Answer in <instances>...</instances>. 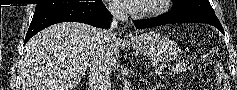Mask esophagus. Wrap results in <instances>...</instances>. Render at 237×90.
I'll list each match as a JSON object with an SVG mask.
<instances>
[{"mask_svg":"<svg viewBox=\"0 0 237 90\" xmlns=\"http://www.w3.org/2000/svg\"><path fill=\"white\" fill-rule=\"evenodd\" d=\"M134 37H133V34L132 33H128L126 32L125 35H124V40L125 41H130L132 40Z\"/></svg>","mask_w":237,"mask_h":90,"instance_id":"1","label":"esophagus"}]
</instances>
